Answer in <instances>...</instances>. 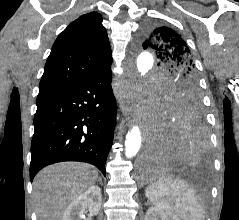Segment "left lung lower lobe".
I'll return each mask as SVG.
<instances>
[{"label": "left lung lower lobe", "mask_w": 239, "mask_h": 220, "mask_svg": "<svg viewBox=\"0 0 239 220\" xmlns=\"http://www.w3.org/2000/svg\"><path fill=\"white\" fill-rule=\"evenodd\" d=\"M207 153L208 136L202 111L162 109L153 125L140 169L145 174L162 172L175 164L200 162Z\"/></svg>", "instance_id": "0a47b994"}]
</instances>
